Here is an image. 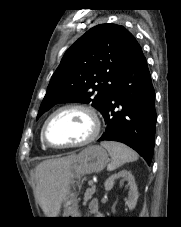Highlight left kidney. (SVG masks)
Wrapping results in <instances>:
<instances>
[{"label":"left kidney","mask_w":181,"mask_h":227,"mask_svg":"<svg viewBox=\"0 0 181 227\" xmlns=\"http://www.w3.org/2000/svg\"><path fill=\"white\" fill-rule=\"evenodd\" d=\"M119 178H122L123 181L128 182L129 193H128V198L126 199V205L128 206L129 210H133L137 204L138 190H137L134 176L130 171L121 170L120 172L111 175L105 181V184H104L105 190L107 191L111 190L113 187L114 181Z\"/></svg>","instance_id":"left-kidney-1"}]
</instances>
